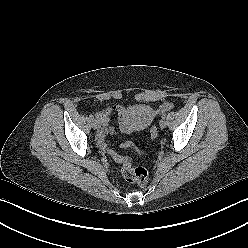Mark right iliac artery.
I'll return each instance as SVG.
<instances>
[{
  "mask_svg": "<svg viewBox=\"0 0 248 248\" xmlns=\"http://www.w3.org/2000/svg\"><path fill=\"white\" fill-rule=\"evenodd\" d=\"M89 119L90 120H93L94 119V116L92 114L89 115Z\"/></svg>",
  "mask_w": 248,
  "mask_h": 248,
  "instance_id": "1",
  "label": "right iliac artery"
}]
</instances>
